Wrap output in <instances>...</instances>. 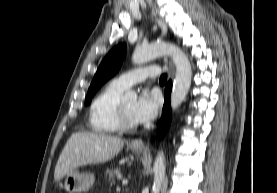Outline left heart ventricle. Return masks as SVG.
<instances>
[{
  "label": "left heart ventricle",
  "mask_w": 277,
  "mask_h": 193,
  "mask_svg": "<svg viewBox=\"0 0 277 193\" xmlns=\"http://www.w3.org/2000/svg\"><path fill=\"white\" fill-rule=\"evenodd\" d=\"M135 103L136 102L134 100L123 102V107L127 116L133 121H135L133 118V110H134Z\"/></svg>",
  "instance_id": "obj_1"
}]
</instances>
